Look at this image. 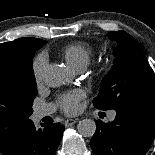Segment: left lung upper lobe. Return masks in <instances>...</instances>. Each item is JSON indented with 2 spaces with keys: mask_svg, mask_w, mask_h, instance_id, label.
<instances>
[{
  "mask_svg": "<svg viewBox=\"0 0 155 155\" xmlns=\"http://www.w3.org/2000/svg\"><path fill=\"white\" fill-rule=\"evenodd\" d=\"M107 36L117 43L114 66L102 81L94 107L117 110L135 102L155 100V74L141 45L125 31Z\"/></svg>",
  "mask_w": 155,
  "mask_h": 155,
  "instance_id": "left-lung-upper-lobe-1",
  "label": "left lung upper lobe"
}]
</instances>
